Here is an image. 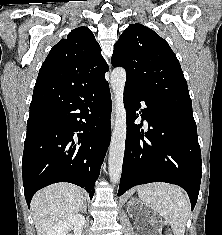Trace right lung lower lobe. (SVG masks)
Here are the masks:
<instances>
[{
  "label": "right lung lower lobe",
  "mask_w": 222,
  "mask_h": 235,
  "mask_svg": "<svg viewBox=\"0 0 222 235\" xmlns=\"http://www.w3.org/2000/svg\"><path fill=\"white\" fill-rule=\"evenodd\" d=\"M35 99L51 119L27 128L22 174L28 206L35 192L56 182L76 184L92 198L111 139L108 82L103 77L65 92L36 89Z\"/></svg>",
  "instance_id": "obj_1"
}]
</instances>
